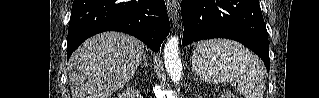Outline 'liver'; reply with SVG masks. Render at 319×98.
<instances>
[{"label": "liver", "instance_id": "6515ba94", "mask_svg": "<svg viewBox=\"0 0 319 98\" xmlns=\"http://www.w3.org/2000/svg\"><path fill=\"white\" fill-rule=\"evenodd\" d=\"M144 44L133 36L104 32L86 40L70 58L72 98H109L135 74Z\"/></svg>", "mask_w": 319, "mask_h": 98}]
</instances>
